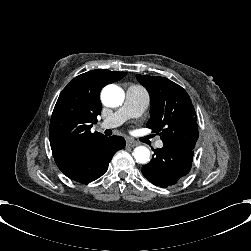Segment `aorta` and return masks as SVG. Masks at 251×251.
<instances>
[{"mask_svg":"<svg viewBox=\"0 0 251 251\" xmlns=\"http://www.w3.org/2000/svg\"><path fill=\"white\" fill-rule=\"evenodd\" d=\"M124 99V90L115 84L105 86L101 92L102 103L109 107L121 106ZM132 154L138 164H146L150 160V151L145 146H137Z\"/></svg>","mask_w":251,"mask_h":251,"instance_id":"762f6f07","label":"aorta"}]
</instances>
